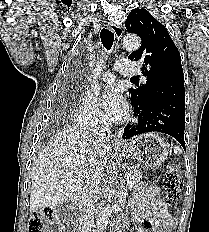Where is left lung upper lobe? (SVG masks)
I'll use <instances>...</instances> for the list:
<instances>
[{"mask_svg":"<svg viewBox=\"0 0 209 232\" xmlns=\"http://www.w3.org/2000/svg\"><path fill=\"white\" fill-rule=\"evenodd\" d=\"M125 27L142 40L141 47L129 58L144 61L142 73L147 77L145 85L130 89L134 110L139 111L158 100H184L180 53L166 28L146 9L131 11Z\"/></svg>","mask_w":209,"mask_h":232,"instance_id":"1","label":"left lung upper lobe"}]
</instances>
